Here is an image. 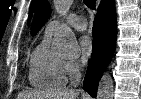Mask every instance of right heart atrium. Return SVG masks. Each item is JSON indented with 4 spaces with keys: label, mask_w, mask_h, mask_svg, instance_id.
<instances>
[{
    "label": "right heart atrium",
    "mask_w": 141,
    "mask_h": 99,
    "mask_svg": "<svg viewBox=\"0 0 141 99\" xmlns=\"http://www.w3.org/2000/svg\"><path fill=\"white\" fill-rule=\"evenodd\" d=\"M66 78L75 79L80 75L81 64L77 60H66L64 64Z\"/></svg>",
    "instance_id": "d8ad5b80"
}]
</instances>
